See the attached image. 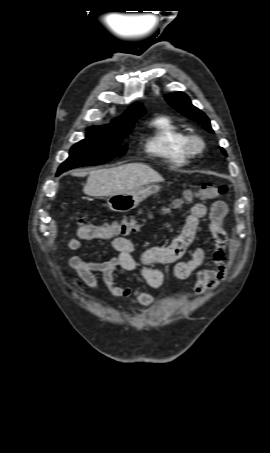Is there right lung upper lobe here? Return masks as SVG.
<instances>
[{"instance_id": "obj_1", "label": "right lung upper lobe", "mask_w": 270, "mask_h": 453, "mask_svg": "<svg viewBox=\"0 0 270 453\" xmlns=\"http://www.w3.org/2000/svg\"><path fill=\"white\" fill-rule=\"evenodd\" d=\"M145 109L140 104H134L129 110L120 118L112 121V124L107 126L114 129H125L134 124V121L143 116Z\"/></svg>"}]
</instances>
